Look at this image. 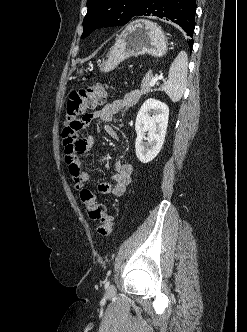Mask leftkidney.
<instances>
[{"label": "left kidney", "instance_id": "obj_1", "mask_svg": "<svg viewBox=\"0 0 247 332\" xmlns=\"http://www.w3.org/2000/svg\"><path fill=\"white\" fill-rule=\"evenodd\" d=\"M168 116L169 108L161 101L150 98L141 106L135 122V149L142 163L152 161L160 152L165 140Z\"/></svg>", "mask_w": 247, "mask_h": 332}]
</instances>
